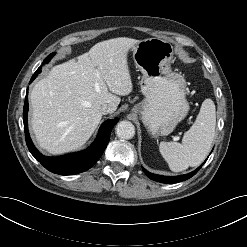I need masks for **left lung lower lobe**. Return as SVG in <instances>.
<instances>
[{"instance_id":"left-lung-lower-lobe-1","label":"left lung lower lobe","mask_w":247,"mask_h":247,"mask_svg":"<svg viewBox=\"0 0 247 247\" xmlns=\"http://www.w3.org/2000/svg\"><path fill=\"white\" fill-rule=\"evenodd\" d=\"M202 165L199 166L193 172H190V173L185 174V175L174 176V177H167V176H160V175L152 174V173L146 171L144 168H142V170L145 172V174L150 179H152L154 181L161 182V183H177V182L185 181V180L191 178L192 176H194L197 173V171L202 167Z\"/></svg>"}]
</instances>
